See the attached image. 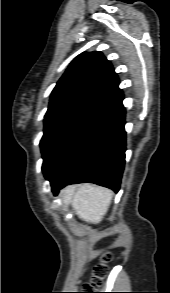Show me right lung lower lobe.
Segmentation results:
<instances>
[{
	"label": "right lung lower lobe",
	"mask_w": 170,
	"mask_h": 293,
	"mask_svg": "<svg viewBox=\"0 0 170 293\" xmlns=\"http://www.w3.org/2000/svg\"><path fill=\"white\" fill-rule=\"evenodd\" d=\"M125 108L122 103L106 117L50 179L55 195L68 184L91 182L119 190L125 163Z\"/></svg>",
	"instance_id": "obj_1"
}]
</instances>
